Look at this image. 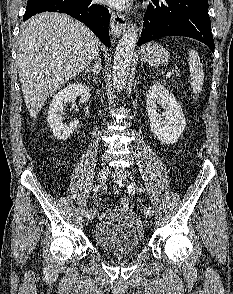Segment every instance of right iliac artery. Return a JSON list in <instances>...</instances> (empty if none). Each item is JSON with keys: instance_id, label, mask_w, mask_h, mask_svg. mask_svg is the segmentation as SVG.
<instances>
[{"instance_id": "1", "label": "right iliac artery", "mask_w": 233, "mask_h": 294, "mask_svg": "<svg viewBox=\"0 0 233 294\" xmlns=\"http://www.w3.org/2000/svg\"><path fill=\"white\" fill-rule=\"evenodd\" d=\"M100 189H101V186L97 185L94 187L93 191L98 192V191H100ZM90 212H91L90 210H86L85 215L88 216L90 214Z\"/></svg>"}]
</instances>
